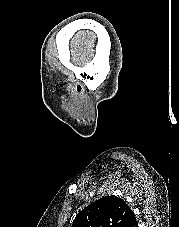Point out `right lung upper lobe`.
<instances>
[{
	"mask_svg": "<svg viewBox=\"0 0 179 227\" xmlns=\"http://www.w3.org/2000/svg\"><path fill=\"white\" fill-rule=\"evenodd\" d=\"M71 227H138L123 199L105 196L79 212Z\"/></svg>",
	"mask_w": 179,
	"mask_h": 227,
	"instance_id": "1",
	"label": "right lung upper lobe"
}]
</instances>
